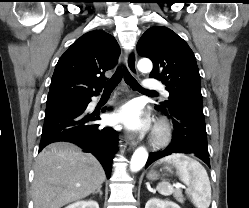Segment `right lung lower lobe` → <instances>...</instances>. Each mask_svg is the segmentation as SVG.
Masks as SVG:
<instances>
[{
  "mask_svg": "<svg viewBox=\"0 0 249 208\" xmlns=\"http://www.w3.org/2000/svg\"><path fill=\"white\" fill-rule=\"evenodd\" d=\"M90 101L91 98L47 105L39 151L57 141L75 143L100 161L109 178L118 136L112 128L90 123L99 119L86 113Z\"/></svg>",
  "mask_w": 249,
  "mask_h": 208,
  "instance_id": "98d812e1",
  "label": "right lung lower lobe"
}]
</instances>
